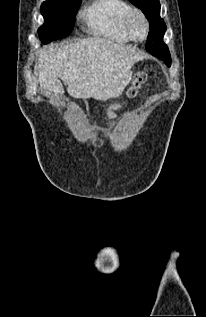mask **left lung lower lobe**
I'll return each mask as SVG.
<instances>
[{
    "label": "left lung lower lobe",
    "instance_id": "obj_1",
    "mask_svg": "<svg viewBox=\"0 0 206 317\" xmlns=\"http://www.w3.org/2000/svg\"><path fill=\"white\" fill-rule=\"evenodd\" d=\"M147 51L159 59L164 58L165 53H169L167 45L162 41H155L154 43L147 44Z\"/></svg>",
    "mask_w": 206,
    "mask_h": 317
}]
</instances>
